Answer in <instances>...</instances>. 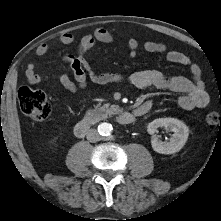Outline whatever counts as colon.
Wrapping results in <instances>:
<instances>
[{
	"instance_id": "colon-1",
	"label": "colon",
	"mask_w": 221,
	"mask_h": 221,
	"mask_svg": "<svg viewBox=\"0 0 221 221\" xmlns=\"http://www.w3.org/2000/svg\"><path fill=\"white\" fill-rule=\"evenodd\" d=\"M20 110L34 121H43L51 113V104L42 91L22 87L18 92ZM206 123L210 127L221 125V115L218 112H209Z\"/></svg>"
}]
</instances>
